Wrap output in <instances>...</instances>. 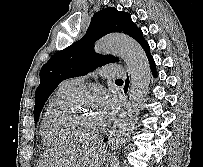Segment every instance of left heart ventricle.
<instances>
[{
	"label": "left heart ventricle",
	"instance_id": "obj_1",
	"mask_svg": "<svg viewBox=\"0 0 203 167\" xmlns=\"http://www.w3.org/2000/svg\"><path fill=\"white\" fill-rule=\"evenodd\" d=\"M66 129L78 136L91 135L102 128L97 113L86 98H79L65 121Z\"/></svg>",
	"mask_w": 203,
	"mask_h": 167
}]
</instances>
